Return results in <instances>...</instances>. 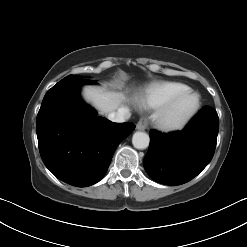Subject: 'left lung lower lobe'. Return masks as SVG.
<instances>
[{
	"instance_id": "1",
	"label": "left lung lower lobe",
	"mask_w": 247,
	"mask_h": 247,
	"mask_svg": "<svg viewBox=\"0 0 247 247\" xmlns=\"http://www.w3.org/2000/svg\"><path fill=\"white\" fill-rule=\"evenodd\" d=\"M219 118L205 106L182 131L162 134L151 130L144 168L156 182L181 185L197 176L211 161L217 142Z\"/></svg>"
}]
</instances>
